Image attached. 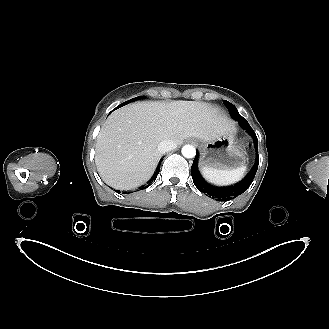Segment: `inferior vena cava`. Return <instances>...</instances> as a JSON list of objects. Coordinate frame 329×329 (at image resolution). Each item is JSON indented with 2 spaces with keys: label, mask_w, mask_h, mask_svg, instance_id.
<instances>
[{
  "label": "inferior vena cava",
  "mask_w": 329,
  "mask_h": 329,
  "mask_svg": "<svg viewBox=\"0 0 329 329\" xmlns=\"http://www.w3.org/2000/svg\"><path fill=\"white\" fill-rule=\"evenodd\" d=\"M176 146L177 144L175 143V141L171 139H165L158 144V151L163 154L175 149Z\"/></svg>",
  "instance_id": "602c4592"
}]
</instances>
